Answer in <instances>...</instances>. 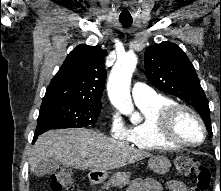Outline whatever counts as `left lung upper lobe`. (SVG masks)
<instances>
[{
    "instance_id": "left-lung-upper-lobe-1",
    "label": "left lung upper lobe",
    "mask_w": 221,
    "mask_h": 191,
    "mask_svg": "<svg viewBox=\"0 0 221 191\" xmlns=\"http://www.w3.org/2000/svg\"><path fill=\"white\" fill-rule=\"evenodd\" d=\"M145 75L159 90L191 104L201 115L212 135L208 100L194 66L183 50L172 42L149 46L144 57Z\"/></svg>"
}]
</instances>
